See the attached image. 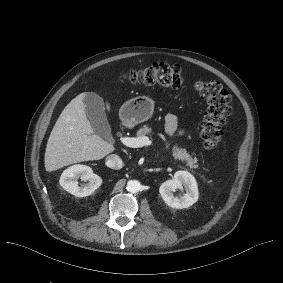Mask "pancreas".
<instances>
[{
	"mask_svg": "<svg viewBox=\"0 0 283 283\" xmlns=\"http://www.w3.org/2000/svg\"><path fill=\"white\" fill-rule=\"evenodd\" d=\"M152 132V129L150 126L148 125H144L142 128H140L137 131V136L138 137H142L145 136L147 134H150ZM172 155L175 159L181 160V161H185L187 163V165L190 168H196L197 166L195 165L196 160H194L189 153H187V150L184 148H179L177 145L173 146L172 148Z\"/></svg>",
	"mask_w": 283,
	"mask_h": 283,
	"instance_id": "obj_1",
	"label": "pancreas"
}]
</instances>
